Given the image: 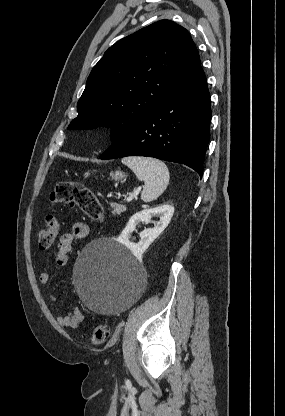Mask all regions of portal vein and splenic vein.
<instances>
[{"label": "portal vein and splenic vein", "mask_w": 285, "mask_h": 416, "mask_svg": "<svg viewBox=\"0 0 285 416\" xmlns=\"http://www.w3.org/2000/svg\"><path fill=\"white\" fill-rule=\"evenodd\" d=\"M138 194H136V192H134V194H129V198H127L126 202H131V200H133V198H137Z\"/></svg>", "instance_id": "portal-vein-and-splenic-vein-1"}]
</instances>
